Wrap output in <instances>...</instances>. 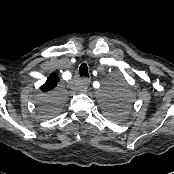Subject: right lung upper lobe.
Returning a JSON list of instances; mask_svg holds the SVG:
<instances>
[{"instance_id":"right-lung-upper-lobe-1","label":"right lung upper lobe","mask_w":174,"mask_h":174,"mask_svg":"<svg viewBox=\"0 0 174 174\" xmlns=\"http://www.w3.org/2000/svg\"><path fill=\"white\" fill-rule=\"evenodd\" d=\"M59 81L60 79L55 74H51L45 84L41 87L42 91L47 92L54 89Z\"/></svg>"}]
</instances>
